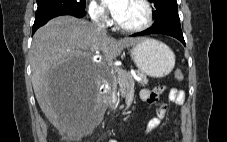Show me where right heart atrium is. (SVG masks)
I'll use <instances>...</instances> for the list:
<instances>
[{
	"instance_id": "1",
	"label": "right heart atrium",
	"mask_w": 227,
	"mask_h": 142,
	"mask_svg": "<svg viewBox=\"0 0 227 142\" xmlns=\"http://www.w3.org/2000/svg\"><path fill=\"white\" fill-rule=\"evenodd\" d=\"M88 14L90 19L97 24L105 25L108 23V16L104 8L93 0L88 4Z\"/></svg>"
}]
</instances>
